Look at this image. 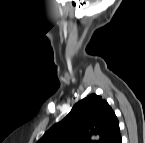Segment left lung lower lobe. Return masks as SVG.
I'll use <instances>...</instances> for the list:
<instances>
[{
  "mask_svg": "<svg viewBox=\"0 0 145 143\" xmlns=\"http://www.w3.org/2000/svg\"><path fill=\"white\" fill-rule=\"evenodd\" d=\"M114 143H122L121 136H119V137L114 141Z\"/></svg>",
  "mask_w": 145,
  "mask_h": 143,
  "instance_id": "1",
  "label": "left lung lower lobe"
}]
</instances>
